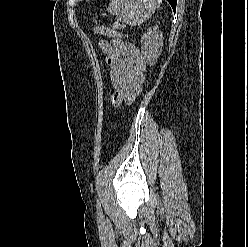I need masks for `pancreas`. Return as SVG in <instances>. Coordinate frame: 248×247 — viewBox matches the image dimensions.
<instances>
[{
	"instance_id": "obj_1",
	"label": "pancreas",
	"mask_w": 248,
	"mask_h": 247,
	"mask_svg": "<svg viewBox=\"0 0 248 247\" xmlns=\"http://www.w3.org/2000/svg\"><path fill=\"white\" fill-rule=\"evenodd\" d=\"M115 25H116V27H117V28H123V27H124L123 25L118 24V23H117V24H115Z\"/></svg>"
}]
</instances>
